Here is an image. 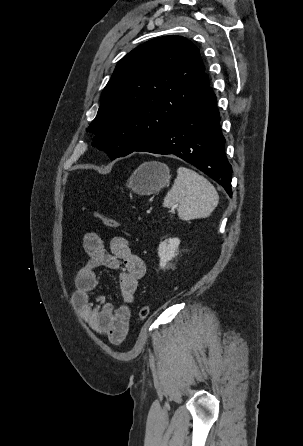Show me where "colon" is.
I'll return each instance as SVG.
<instances>
[{
    "label": "colon",
    "mask_w": 303,
    "mask_h": 446,
    "mask_svg": "<svg viewBox=\"0 0 303 446\" xmlns=\"http://www.w3.org/2000/svg\"><path fill=\"white\" fill-rule=\"evenodd\" d=\"M93 216L96 217L97 219L101 220L102 223L110 229H118L121 226L120 223L116 219L106 215L105 213H102L99 211H93ZM149 312H150L149 307L143 306L139 310L138 318L140 320L146 319L149 315Z\"/></svg>",
    "instance_id": "5ec220e1"
}]
</instances>
